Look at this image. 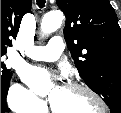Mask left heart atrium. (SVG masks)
I'll return each mask as SVG.
<instances>
[{
    "label": "left heart atrium",
    "mask_w": 121,
    "mask_h": 113,
    "mask_svg": "<svg viewBox=\"0 0 121 113\" xmlns=\"http://www.w3.org/2000/svg\"><path fill=\"white\" fill-rule=\"evenodd\" d=\"M24 78L29 85L39 94L48 95L53 100L60 86L50 83V74L43 69L31 67L24 71Z\"/></svg>",
    "instance_id": "39dd6f15"
}]
</instances>
